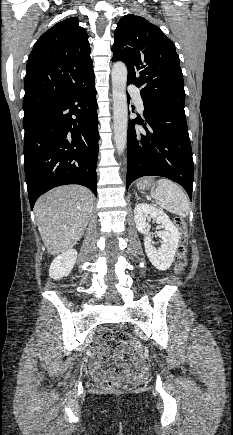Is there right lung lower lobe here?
<instances>
[{
	"mask_svg": "<svg viewBox=\"0 0 233 435\" xmlns=\"http://www.w3.org/2000/svg\"><path fill=\"white\" fill-rule=\"evenodd\" d=\"M94 78L93 74L64 97L24 116L25 180L32 209L40 195L60 185L80 184L97 196Z\"/></svg>",
	"mask_w": 233,
	"mask_h": 435,
	"instance_id": "right-lung-lower-lobe-1",
	"label": "right lung lower lobe"
}]
</instances>
